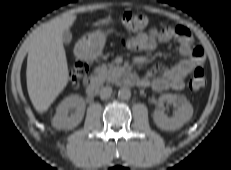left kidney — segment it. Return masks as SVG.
Returning <instances> with one entry per match:
<instances>
[{
  "label": "left kidney",
  "mask_w": 231,
  "mask_h": 170,
  "mask_svg": "<svg viewBox=\"0 0 231 170\" xmlns=\"http://www.w3.org/2000/svg\"><path fill=\"white\" fill-rule=\"evenodd\" d=\"M164 102L172 103L177 108L173 117H167L161 109L154 111V122L163 130L173 131L181 128L186 122H188L193 115V107L187 101L186 97L182 95L164 94L159 98V103Z\"/></svg>",
  "instance_id": "1"
}]
</instances>
